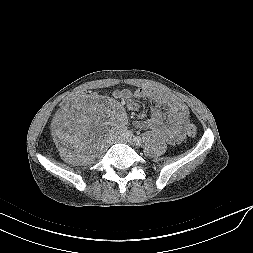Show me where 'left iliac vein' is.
<instances>
[{"instance_id":"4c4485c4","label":"left iliac vein","mask_w":253,"mask_h":253,"mask_svg":"<svg viewBox=\"0 0 253 253\" xmlns=\"http://www.w3.org/2000/svg\"><path fill=\"white\" fill-rule=\"evenodd\" d=\"M125 142L127 143V144H129V145H134V142H133V140L131 139V138H129V137H127L126 139H125Z\"/></svg>"}]
</instances>
